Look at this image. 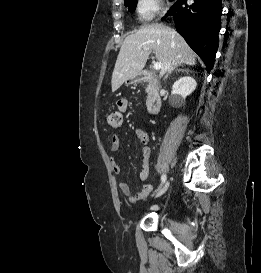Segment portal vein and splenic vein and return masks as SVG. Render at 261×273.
I'll return each instance as SVG.
<instances>
[{
    "mask_svg": "<svg viewBox=\"0 0 261 273\" xmlns=\"http://www.w3.org/2000/svg\"><path fill=\"white\" fill-rule=\"evenodd\" d=\"M145 50H149V48H145ZM153 68L155 70H160L161 69V63L160 62H154L153 63Z\"/></svg>",
    "mask_w": 261,
    "mask_h": 273,
    "instance_id": "1",
    "label": "portal vein and splenic vein"
}]
</instances>
